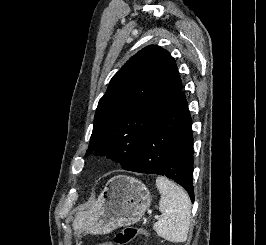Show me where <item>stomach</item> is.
<instances>
[{
    "label": "stomach",
    "instance_id": "1",
    "mask_svg": "<svg viewBox=\"0 0 266 245\" xmlns=\"http://www.w3.org/2000/svg\"><path fill=\"white\" fill-rule=\"evenodd\" d=\"M151 205V195L144 183L116 175L109 179L93 209L80 211L72 223L74 237L85 233L108 235L118 227H130L140 221Z\"/></svg>",
    "mask_w": 266,
    "mask_h": 245
}]
</instances>
